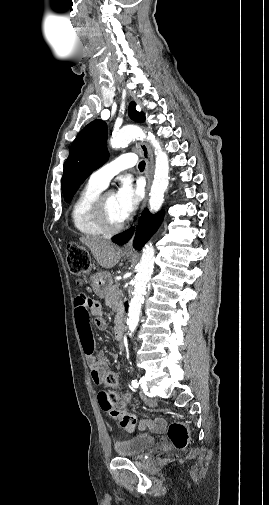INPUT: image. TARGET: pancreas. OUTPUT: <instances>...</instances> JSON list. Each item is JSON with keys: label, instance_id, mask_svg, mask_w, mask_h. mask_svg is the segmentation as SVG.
<instances>
[{"label": "pancreas", "instance_id": "1", "mask_svg": "<svg viewBox=\"0 0 269 505\" xmlns=\"http://www.w3.org/2000/svg\"><path fill=\"white\" fill-rule=\"evenodd\" d=\"M107 305L117 311V314H120L122 309L121 302V291L119 290L117 285H113L106 294Z\"/></svg>", "mask_w": 269, "mask_h": 505}]
</instances>
